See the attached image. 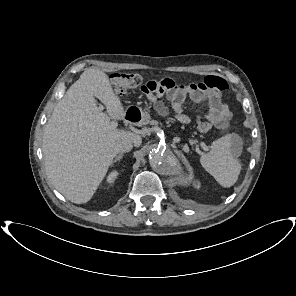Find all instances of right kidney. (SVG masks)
I'll return each mask as SVG.
<instances>
[{"mask_svg": "<svg viewBox=\"0 0 296 296\" xmlns=\"http://www.w3.org/2000/svg\"><path fill=\"white\" fill-rule=\"evenodd\" d=\"M117 175H118V172H117L116 170L112 171V172L108 175V177H107V182H109V183L114 182V180L116 179Z\"/></svg>", "mask_w": 296, "mask_h": 296, "instance_id": "right-kidney-1", "label": "right kidney"}]
</instances>
